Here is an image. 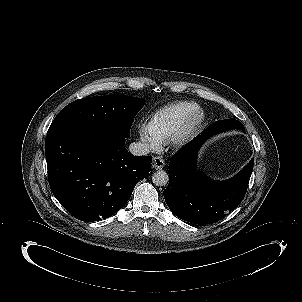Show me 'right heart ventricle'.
Listing matches in <instances>:
<instances>
[{
    "instance_id": "right-heart-ventricle-1",
    "label": "right heart ventricle",
    "mask_w": 302,
    "mask_h": 302,
    "mask_svg": "<svg viewBox=\"0 0 302 302\" xmlns=\"http://www.w3.org/2000/svg\"><path fill=\"white\" fill-rule=\"evenodd\" d=\"M198 109L199 105L191 101L172 103L159 109L151 117L148 127L161 140H165L173 134L191 113Z\"/></svg>"
}]
</instances>
